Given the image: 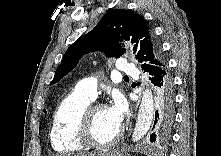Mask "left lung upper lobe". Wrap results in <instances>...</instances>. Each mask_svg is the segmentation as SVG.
Listing matches in <instances>:
<instances>
[{"instance_id": "1", "label": "left lung upper lobe", "mask_w": 221, "mask_h": 156, "mask_svg": "<svg viewBox=\"0 0 221 156\" xmlns=\"http://www.w3.org/2000/svg\"><path fill=\"white\" fill-rule=\"evenodd\" d=\"M120 39H131L135 44L133 50L137 53L136 59L140 63L144 62V70L166 62L146 20L132 11L114 9L108 12L92 31L68 48L56 69L51 85L69 73L86 53L98 50L104 52L107 57L121 56L123 49L117 44Z\"/></svg>"}]
</instances>
